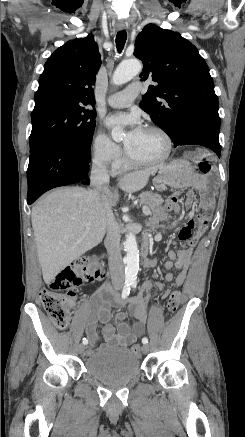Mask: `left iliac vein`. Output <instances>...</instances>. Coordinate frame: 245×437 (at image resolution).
Listing matches in <instances>:
<instances>
[{
  "mask_svg": "<svg viewBox=\"0 0 245 437\" xmlns=\"http://www.w3.org/2000/svg\"><path fill=\"white\" fill-rule=\"evenodd\" d=\"M142 351H143L144 354H147L148 351H149V346L144 344L143 347H142Z\"/></svg>",
  "mask_w": 245,
  "mask_h": 437,
  "instance_id": "left-iliac-vein-1",
  "label": "left iliac vein"
}]
</instances>
